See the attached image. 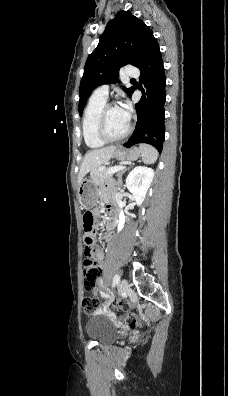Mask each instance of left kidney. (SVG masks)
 I'll use <instances>...</instances> for the list:
<instances>
[{
    "label": "left kidney",
    "instance_id": "5707ae66",
    "mask_svg": "<svg viewBox=\"0 0 228 396\" xmlns=\"http://www.w3.org/2000/svg\"><path fill=\"white\" fill-rule=\"evenodd\" d=\"M154 177V170L136 166L126 178V187L133 194L137 206H141Z\"/></svg>",
    "mask_w": 228,
    "mask_h": 396
}]
</instances>
